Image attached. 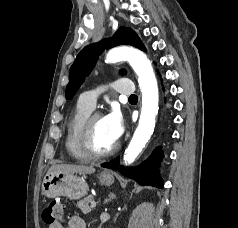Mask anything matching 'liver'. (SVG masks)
Wrapping results in <instances>:
<instances>
[{"label": "liver", "mask_w": 238, "mask_h": 228, "mask_svg": "<svg viewBox=\"0 0 238 228\" xmlns=\"http://www.w3.org/2000/svg\"><path fill=\"white\" fill-rule=\"evenodd\" d=\"M49 171H61L64 173H79V174H91L95 172L93 166L85 165H71V164H59L53 165Z\"/></svg>", "instance_id": "6515ba94"}]
</instances>
